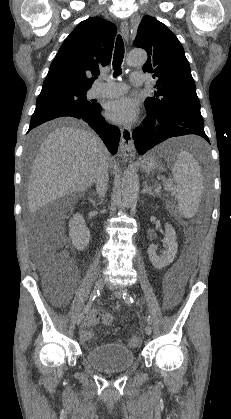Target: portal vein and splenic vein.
I'll list each match as a JSON object with an SVG mask.
<instances>
[{
	"label": "portal vein and splenic vein",
	"mask_w": 231,
	"mask_h": 419,
	"mask_svg": "<svg viewBox=\"0 0 231 419\" xmlns=\"http://www.w3.org/2000/svg\"><path fill=\"white\" fill-rule=\"evenodd\" d=\"M165 182V184H166V190H171L172 189V186L171 185H169L166 181H164Z\"/></svg>",
	"instance_id": "obj_1"
}]
</instances>
